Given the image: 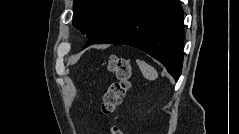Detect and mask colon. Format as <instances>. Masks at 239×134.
<instances>
[{
    "label": "colon",
    "instance_id": "5ec220e1",
    "mask_svg": "<svg viewBox=\"0 0 239 134\" xmlns=\"http://www.w3.org/2000/svg\"><path fill=\"white\" fill-rule=\"evenodd\" d=\"M108 70L116 76V80L109 85L102 99L101 109L106 115L114 113L123 101L130 87L132 75L130 62L115 55L109 58ZM111 133L121 134V131L117 127H113Z\"/></svg>",
    "mask_w": 239,
    "mask_h": 134
}]
</instances>
